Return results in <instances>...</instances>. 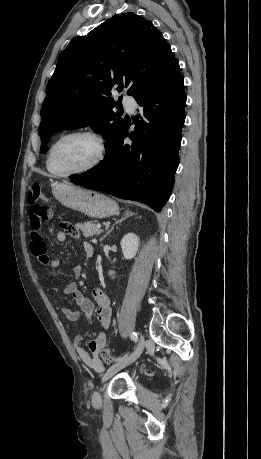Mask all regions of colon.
<instances>
[{"instance_id":"obj_1","label":"colon","mask_w":261,"mask_h":459,"mask_svg":"<svg viewBox=\"0 0 261 459\" xmlns=\"http://www.w3.org/2000/svg\"><path fill=\"white\" fill-rule=\"evenodd\" d=\"M28 203L30 205L28 220V231L30 234H41V225L51 217V210L48 206V199L42 191L40 184L34 183L29 191ZM60 228L73 237L78 236L77 230L68 222H61ZM101 358L105 363L113 360V355L109 347L101 350Z\"/></svg>"}]
</instances>
